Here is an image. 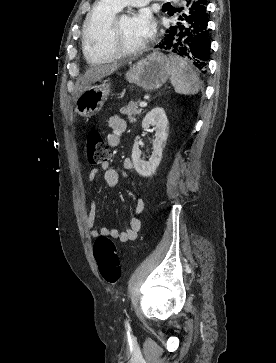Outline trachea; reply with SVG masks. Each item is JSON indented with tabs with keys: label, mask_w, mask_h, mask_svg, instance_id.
<instances>
[{
	"label": "trachea",
	"mask_w": 276,
	"mask_h": 363,
	"mask_svg": "<svg viewBox=\"0 0 276 363\" xmlns=\"http://www.w3.org/2000/svg\"><path fill=\"white\" fill-rule=\"evenodd\" d=\"M170 5V3H166V4H164V6H169Z\"/></svg>",
	"instance_id": "trachea-1"
}]
</instances>
